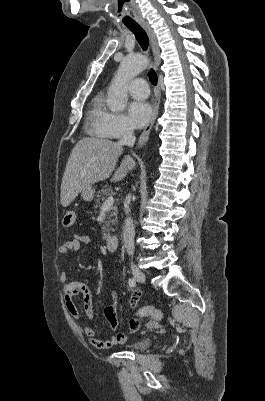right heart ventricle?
Segmentation results:
<instances>
[{
    "label": "right heart ventricle",
    "mask_w": 265,
    "mask_h": 401,
    "mask_svg": "<svg viewBox=\"0 0 265 401\" xmlns=\"http://www.w3.org/2000/svg\"><path fill=\"white\" fill-rule=\"evenodd\" d=\"M104 112H105L104 96L102 93H97L91 98L89 102L88 115L92 117L91 127L95 136L101 138L102 141L109 143L111 142L110 139L114 137L110 136L101 125L100 117L103 115ZM126 138L127 137L115 138V139L124 140Z\"/></svg>",
    "instance_id": "1"
}]
</instances>
